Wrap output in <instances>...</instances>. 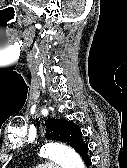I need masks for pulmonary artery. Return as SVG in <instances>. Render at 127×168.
<instances>
[{
  "label": "pulmonary artery",
  "mask_w": 127,
  "mask_h": 168,
  "mask_svg": "<svg viewBox=\"0 0 127 168\" xmlns=\"http://www.w3.org/2000/svg\"><path fill=\"white\" fill-rule=\"evenodd\" d=\"M35 168H60V165L57 163H46V164L39 165Z\"/></svg>",
  "instance_id": "pulmonary-artery-1"
}]
</instances>
